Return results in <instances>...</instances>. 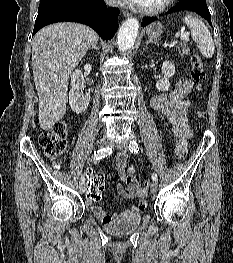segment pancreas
Returning a JSON list of instances; mask_svg holds the SVG:
<instances>
[{"instance_id":"obj_1","label":"pancreas","mask_w":233,"mask_h":263,"mask_svg":"<svg viewBox=\"0 0 233 263\" xmlns=\"http://www.w3.org/2000/svg\"><path fill=\"white\" fill-rule=\"evenodd\" d=\"M179 54L180 55H189L190 54V47L188 46V44L183 43L181 44L179 47Z\"/></svg>"}]
</instances>
